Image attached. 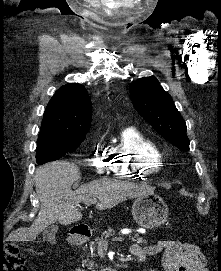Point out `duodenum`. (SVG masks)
I'll return each mask as SVG.
<instances>
[{"label":"duodenum","instance_id":"410a0bca","mask_svg":"<svg viewBox=\"0 0 221 271\" xmlns=\"http://www.w3.org/2000/svg\"><path fill=\"white\" fill-rule=\"evenodd\" d=\"M90 236V231L88 230H73L70 235V242L73 245H82L85 244ZM139 261H142L143 259H138ZM77 271H83L81 269H77ZM102 271H117L114 267H107L104 268Z\"/></svg>","mask_w":221,"mask_h":271}]
</instances>
